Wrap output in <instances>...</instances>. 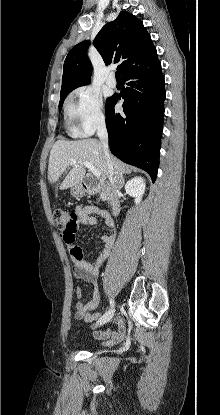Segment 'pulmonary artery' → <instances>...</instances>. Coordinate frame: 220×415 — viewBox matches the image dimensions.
<instances>
[{
  "mask_svg": "<svg viewBox=\"0 0 220 415\" xmlns=\"http://www.w3.org/2000/svg\"><path fill=\"white\" fill-rule=\"evenodd\" d=\"M106 84L111 88L116 87L117 81H116V79L114 77V74L112 72L108 75V77L106 79Z\"/></svg>",
  "mask_w": 220,
  "mask_h": 415,
  "instance_id": "e3ab8cb5",
  "label": "pulmonary artery"
}]
</instances>
